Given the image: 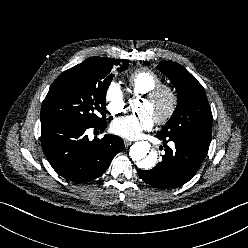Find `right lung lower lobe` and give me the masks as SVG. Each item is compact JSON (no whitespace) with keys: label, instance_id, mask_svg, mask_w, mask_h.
Instances as JSON below:
<instances>
[{"label":"right lung lower lobe","instance_id":"1","mask_svg":"<svg viewBox=\"0 0 248 248\" xmlns=\"http://www.w3.org/2000/svg\"><path fill=\"white\" fill-rule=\"evenodd\" d=\"M104 123L87 125L70 122L41 124V144L53 169L72 182H88L100 177L114 156L124 149L123 140L105 135L101 140L89 141L86 130L105 129Z\"/></svg>","mask_w":248,"mask_h":248}]
</instances>
